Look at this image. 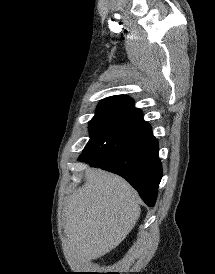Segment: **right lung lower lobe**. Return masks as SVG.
Instances as JSON below:
<instances>
[{"mask_svg":"<svg viewBox=\"0 0 215 274\" xmlns=\"http://www.w3.org/2000/svg\"><path fill=\"white\" fill-rule=\"evenodd\" d=\"M79 161L122 176L139 192L148 206H154L162 178V166L158 157V142L151 128L109 163L89 158Z\"/></svg>","mask_w":215,"mask_h":274,"instance_id":"obj_1","label":"right lung lower lobe"}]
</instances>
